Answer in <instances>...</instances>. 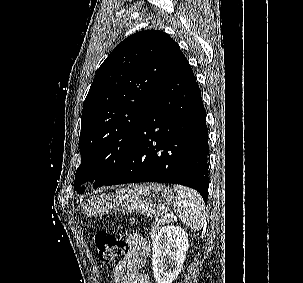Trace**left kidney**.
Returning a JSON list of instances; mask_svg holds the SVG:
<instances>
[{"instance_id":"5707ae66","label":"left kidney","mask_w":303,"mask_h":283,"mask_svg":"<svg viewBox=\"0 0 303 283\" xmlns=\"http://www.w3.org/2000/svg\"><path fill=\"white\" fill-rule=\"evenodd\" d=\"M188 235L179 226H165L153 240L152 265L157 283H172L188 250Z\"/></svg>"}]
</instances>
